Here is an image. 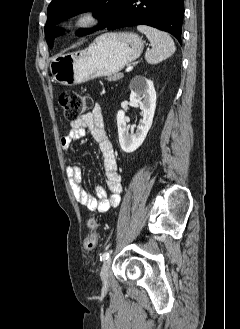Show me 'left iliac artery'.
Listing matches in <instances>:
<instances>
[{
	"instance_id": "left-iliac-artery-1",
	"label": "left iliac artery",
	"mask_w": 240,
	"mask_h": 329,
	"mask_svg": "<svg viewBox=\"0 0 240 329\" xmlns=\"http://www.w3.org/2000/svg\"><path fill=\"white\" fill-rule=\"evenodd\" d=\"M110 251H106L102 256L101 260L105 261L109 258Z\"/></svg>"
}]
</instances>
